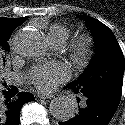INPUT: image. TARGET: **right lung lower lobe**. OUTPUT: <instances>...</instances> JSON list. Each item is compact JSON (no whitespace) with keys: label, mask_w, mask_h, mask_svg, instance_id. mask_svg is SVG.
I'll return each instance as SVG.
<instances>
[{"label":"right lung lower lobe","mask_w":125,"mask_h":125,"mask_svg":"<svg viewBox=\"0 0 125 125\" xmlns=\"http://www.w3.org/2000/svg\"><path fill=\"white\" fill-rule=\"evenodd\" d=\"M34 96L29 92H18L14 86L0 95V125H19L20 110L23 104L33 101Z\"/></svg>","instance_id":"obj_1"}]
</instances>
